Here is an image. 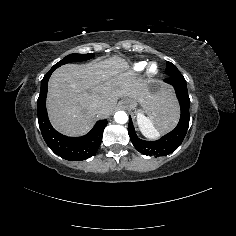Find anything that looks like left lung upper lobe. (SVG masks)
I'll return each mask as SVG.
<instances>
[{"label":"left lung upper lobe","mask_w":236,"mask_h":236,"mask_svg":"<svg viewBox=\"0 0 236 236\" xmlns=\"http://www.w3.org/2000/svg\"><path fill=\"white\" fill-rule=\"evenodd\" d=\"M166 74L168 76H177V75H182L179 70L177 69V67L172 64L171 62H167L166 63Z\"/></svg>","instance_id":"left-lung-upper-lobe-1"}]
</instances>
